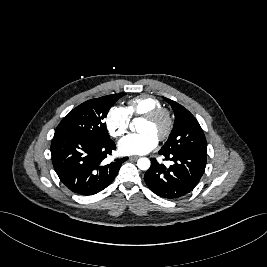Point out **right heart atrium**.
I'll return each mask as SVG.
<instances>
[{
	"label": "right heart atrium",
	"instance_id": "right-heart-atrium-1",
	"mask_svg": "<svg viewBox=\"0 0 267 267\" xmlns=\"http://www.w3.org/2000/svg\"><path fill=\"white\" fill-rule=\"evenodd\" d=\"M105 125L112 137L119 138L129 129L130 116L125 108L112 106L106 114Z\"/></svg>",
	"mask_w": 267,
	"mask_h": 267
}]
</instances>
